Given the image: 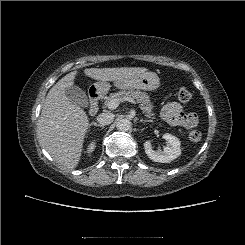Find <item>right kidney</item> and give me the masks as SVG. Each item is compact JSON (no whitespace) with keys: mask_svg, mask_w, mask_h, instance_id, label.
<instances>
[{"mask_svg":"<svg viewBox=\"0 0 245 245\" xmlns=\"http://www.w3.org/2000/svg\"><path fill=\"white\" fill-rule=\"evenodd\" d=\"M94 149H95V142H91L88 146L87 152L90 154L94 151Z\"/></svg>","mask_w":245,"mask_h":245,"instance_id":"obj_1","label":"right kidney"}]
</instances>
